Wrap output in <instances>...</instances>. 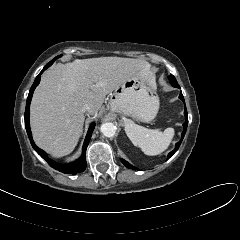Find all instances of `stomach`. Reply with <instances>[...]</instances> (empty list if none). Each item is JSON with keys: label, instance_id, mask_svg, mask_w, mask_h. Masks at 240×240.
Here are the masks:
<instances>
[{"label": "stomach", "instance_id": "1", "mask_svg": "<svg viewBox=\"0 0 240 240\" xmlns=\"http://www.w3.org/2000/svg\"><path fill=\"white\" fill-rule=\"evenodd\" d=\"M110 107L113 112L138 121H152L159 110L155 82L138 73L132 75L111 94Z\"/></svg>", "mask_w": 240, "mask_h": 240}]
</instances>
